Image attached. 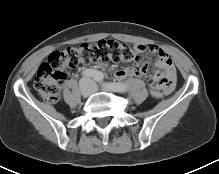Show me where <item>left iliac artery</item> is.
<instances>
[{
    "mask_svg": "<svg viewBox=\"0 0 219 174\" xmlns=\"http://www.w3.org/2000/svg\"><path fill=\"white\" fill-rule=\"evenodd\" d=\"M94 79L101 83L103 87L107 86L117 92H126L128 90V87L124 83H118V82H104V76L103 73L97 72Z\"/></svg>",
    "mask_w": 219,
    "mask_h": 174,
    "instance_id": "obj_1",
    "label": "left iliac artery"
}]
</instances>
